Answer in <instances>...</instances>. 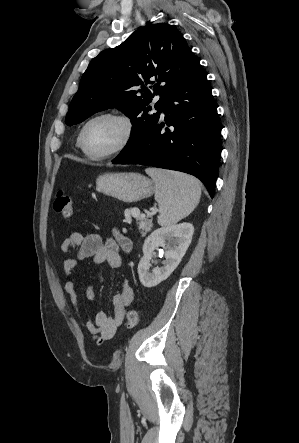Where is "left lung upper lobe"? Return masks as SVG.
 I'll list each match as a JSON object with an SVG mask.
<instances>
[{"label": "left lung upper lobe", "mask_w": 299, "mask_h": 443, "mask_svg": "<svg viewBox=\"0 0 299 443\" xmlns=\"http://www.w3.org/2000/svg\"><path fill=\"white\" fill-rule=\"evenodd\" d=\"M198 63L177 29L166 23L148 24L121 45L92 59L71 101L65 123L71 126L96 112L120 109L133 124L124 151L155 122L168 92ZM144 84H152L151 90ZM157 94H160L155 104L157 112L152 113L149 103Z\"/></svg>", "instance_id": "obj_1"}]
</instances>
